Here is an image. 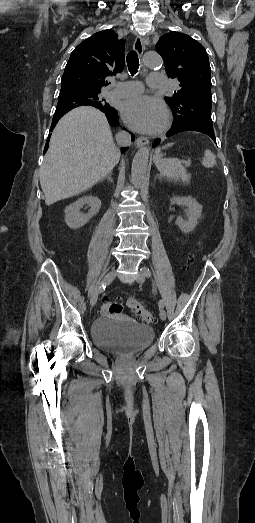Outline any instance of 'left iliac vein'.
<instances>
[{
  "label": "left iliac vein",
  "instance_id": "obj_1",
  "mask_svg": "<svg viewBox=\"0 0 255 523\" xmlns=\"http://www.w3.org/2000/svg\"><path fill=\"white\" fill-rule=\"evenodd\" d=\"M136 281H137L138 283H141V284L144 283V281H145V275H144V273H143L142 271H140V272L137 274V276H136ZM159 316H160V319H161L162 321L166 320V312H165L164 309H162V308L160 309Z\"/></svg>",
  "mask_w": 255,
  "mask_h": 523
}]
</instances>
